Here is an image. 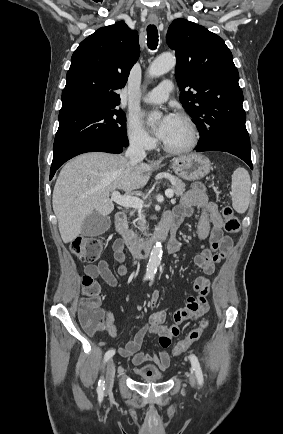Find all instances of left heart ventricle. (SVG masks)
Instances as JSON below:
<instances>
[{
  "mask_svg": "<svg viewBox=\"0 0 283 434\" xmlns=\"http://www.w3.org/2000/svg\"><path fill=\"white\" fill-rule=\"evenodd\" d=\"M189 138L185 123L176 117L174 127L164 142L172 147H179L187 143Z\"/></svg>",
  "mask_w": 283,
  "mask_h": 434,
  "instance_id": "1",
  "label": "left heart ventricle"
}]
</instances>
